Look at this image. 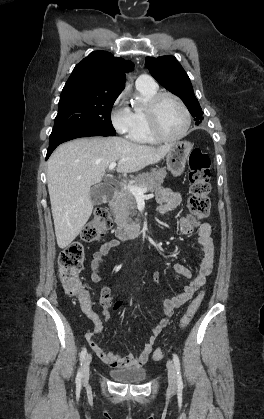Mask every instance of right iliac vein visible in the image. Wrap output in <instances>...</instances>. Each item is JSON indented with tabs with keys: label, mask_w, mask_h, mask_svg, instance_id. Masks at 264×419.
<instances>
[{
	"label": "right iliac vein",
	"mask_w": 264,
	"mask_h": 419,
	"mask_svg": "<svg viewBox=\"0 0 264 419\" xmlns=\"http://www.w3.org/2000/svg\"><path fill=\"white\" fill-rule=\"evenodd\" d=\"M92 360L91 354H87V356L84 358L83 365H82V381L84 384L88 382L89 379V368L90 363Z\"/></svg>",
	"instance_id": "obj_1"
}]
</instances>
